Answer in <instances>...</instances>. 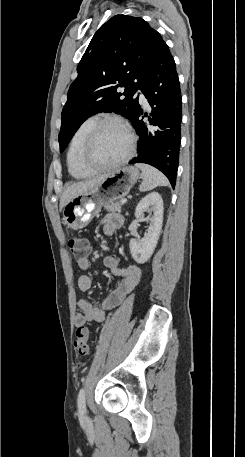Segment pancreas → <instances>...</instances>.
Instances as JSON below:
<instances>
[{"label": "pancreas", "mask_w": 245, "mask_h": 457, "mask_svg": "<svg viewBox=\"0 0 245 457\" xmlns=\"http://www.w3.org/2000/svg\"><path fill=\"white\" fill-rule=\"evenodd\" d=\"M123 202H119V200H116V202H105L104 206L106 210H111V212H114V210H121Z\"/></svg>", "instance_id": "pancreas-1"}]
</instances>
